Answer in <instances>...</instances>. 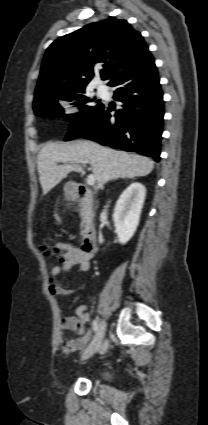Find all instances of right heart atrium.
Here are the masks:
<instances>
[{
  "label": "right heart atrium",
  "instance_id": "obj_1",
  "mask_svg": "<svg viewBox=\"0 0 208 425\" xmlns=\"http://www.w3.org/2000/svg\"><path fill=\"white\" fill-rule=\"evenodd\" d=\"M72 112H73V111H72V110H70V109H69V110H67V113H69V114H71Z\"/></svg>",
  "mask_w": 208,
  "mask_h": 425
}]
</instances>
